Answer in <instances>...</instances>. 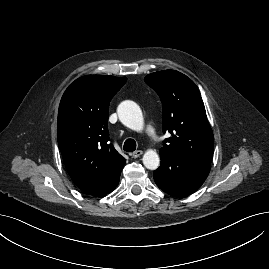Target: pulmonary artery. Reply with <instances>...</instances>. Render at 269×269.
<instances>
[{
	"label": "pulmonary artery",
	"mask_w": 269,
	"mask_h": 269,
	"mask_svg": "<svg viewBox=\"0 0 269 269\" xmlns=\"http://www.w3.org/2000/svg\"><path fill=\"white\" fill-rule=\"evenodd\" d=\"M146 132H147V135L154 141H157L158 140V136L156 134V131L151 127V126H148L146 128Z\"/></svg>",
	"instance_id": "pulmonary-artery-1"
}]
</instances>
